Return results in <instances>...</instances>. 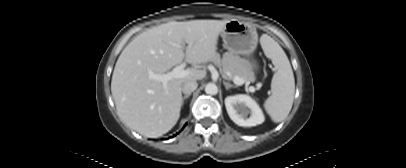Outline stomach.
<instances>
[{"instance_id": "stomach-1", "label": "stomach", "mask_w": 406, "mask_h": 168, "mask_svg": "<svg viewBox=\"0 0 406 168\" xmlns=\"http://www.w3.org/2000/svg\"><path fill=\"white\" fill-rule=\"evenodd\" d=\"M221 37L225 47L235 56L244 55L249 57L255 51L258 43V34L255 27L236 19L227 22L221 32ZM244 61L249 63L252 71L258 69L256 61L249 59Z\"/></svg>"}]
</instances>
